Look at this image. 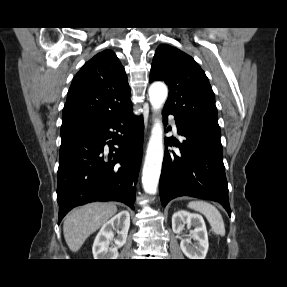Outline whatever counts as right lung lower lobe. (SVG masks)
<instances>
[{
    "instance_id": "1",
    "label": "right lung lower lobe",
    "mask_w": 287,
    "mask_h": 287,
    "mask_svg": "<svg viewBox=\"0 0 287 287\" xmlns=\"http://www.w3.org/2000/svg\"><path fill=\"white\" fill-rule=\"evenodd\" d=\"M143 131L142 117L132 113L131 105L62 137L58 223L72 208L94 201H119L134 209ZM106 144L114 154H104Z\"/></svg>"
}]
</instances>
